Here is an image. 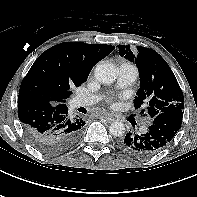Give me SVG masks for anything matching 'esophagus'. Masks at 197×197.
I'll use <instances>...</instances> for the list:
<instances>
[{"label":"esophagus","instance_id":"34e87169","mask_svg":"<svg viewBox=\"0 0 197 197\" xmlns=\"http://www.w3.org/2000/svg\"><path fill=\"white\" fill-rule=\"evenodd\" d=\"M100 118L106 119L108 122H112L115 120V117L110 113H104L100 116Z\"/></svg>","mask_w":197,"mask_h":197}]
</instances>
